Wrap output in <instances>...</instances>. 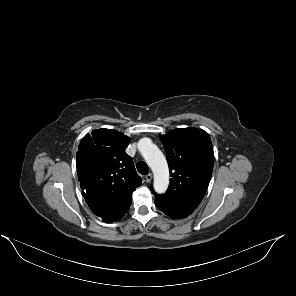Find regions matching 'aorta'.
I'll use <instances>...</instances> for the list:
<instances>
[{"label":"aorta","mask_w":296,"mask_h":296,"mask_svg":"<svg viewBox=\"0 0 296 296\" xmlns=\"http://www.w3.org/2000/svg\"><path fill=\"white\" fill-rule=\"evenodd\" d=\"M138 149L153 171L155 192L165 193L169 185V169L163 153L148 138L138 142Z\"/></svg>","instance_id":"762f6f07"}]
</instances>
